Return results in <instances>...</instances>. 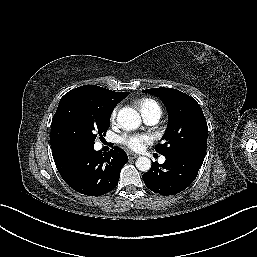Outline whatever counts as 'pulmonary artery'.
<instances>
[{
    "label": "pulmonary artery",
    "instance_id": "obj_1",
    "mask_svg": "<svg viewBox=\"0 0 257 257\" xmlns=\"http://www.w3.org/2000/svg\"><path fill=\"white\" fill-rule=\"evenodd\" d=\"M159 119H160V114H157V113L150 114L144 117L145 122L149 125L156 124L159 121ZM164 161H165V157H161L160 162L163 163Z\"/></svg>",
    "mask_w": 257,
    "mask_h": 257
}]
</instances>
